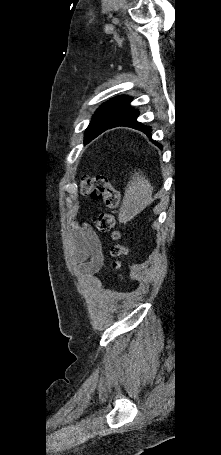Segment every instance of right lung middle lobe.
<instances>
[{"mask_svg":"<svg viewBox=\"0 0 221 455\" xmlns=\"http://www.w3.org/2000/svg\"><path fill=\"white\" fill-rule=\"evenodd\" d=\"M126 113L127 111L123 109L102 105L86 129L84 143L90 142L103 131L109 129Z\"/></svg>","mask_w":221,"mask_h":455,"instance_id":"dd1d6c3e","label":"right lung middle lobe"}]
</instances>
